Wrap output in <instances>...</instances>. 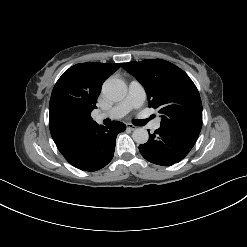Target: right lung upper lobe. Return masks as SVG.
<instances>
[{
	"label": "right lung upper lobe",
	"instance_id": "obj_1",
	"mask_svg": "<svg viewBox=\"0 0 247 247\" xmlns=\"http://www.w3.org/2000/svg\"><path fill=\"white\" fill-rule=\"evenodd\" d=\"M120 66V63L76 64L59 78L50 98L49 124L60 152L96 123L91 111L96 107L102 84Z\"/></svg>",
	"mask_w": 247,
	"mask_h": 247
}]
</instances>
